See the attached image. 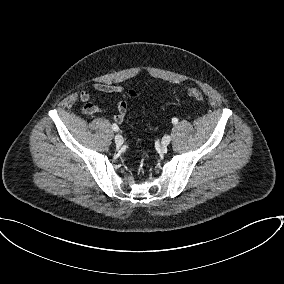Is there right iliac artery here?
<instances>
[{"mask_svg": "<svg viewBox=\"0 0 284 284\" xmlns=\"http://www.w3.org/2000/svg\"><path fill=\"white\" fill-rule=\"evenodd\" d=\"M112 129L114 131H118L119 128H118L117 124L114 123V124H112Z\"/></svg>", "mask_w": 284, "mask_h": 284, "instance_id": "82829eb1", "label": "right iliac artery"}]
</instances>
